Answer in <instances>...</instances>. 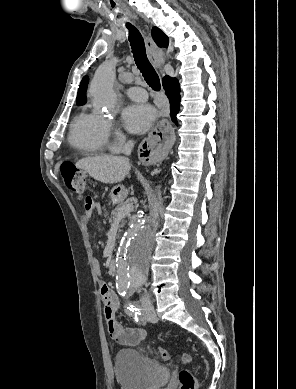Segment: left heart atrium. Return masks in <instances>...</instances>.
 <instances>
[{
	"label": "left heart atrium",
	"mask_w": 296,
	"mask_h": 389,
	"mask_svg": "<svg viewBox=\"0 0 296 389\" xmlns=\"http://www.w3.org/2000/svg\"><path fill=\"white\" fill-rule=\"evenodd\" d=\"M156 120L155 109L147 104H130L123 111V122L128 131L143 134L148 131Z\"/></svg>",
	"instance_id": "1"
}]
</instances>
